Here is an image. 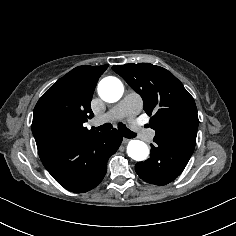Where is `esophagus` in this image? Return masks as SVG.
<instances>
[{
    "mask_svg": "<svg viewBox=\"0 0 236 236\" xmlns=\"http://www.w3.org/2000/svg\"><path fill=\"white\" fill-rule=\"evenodd\" d=\"M129 140V138H123V143H127Z\"/></svg>",
    "mask_w": 236,
    "mask_h": 236,
    "instance_id": "obj_1",
    "label": "esophagus"
}]
</instances>
